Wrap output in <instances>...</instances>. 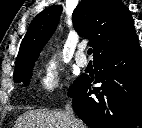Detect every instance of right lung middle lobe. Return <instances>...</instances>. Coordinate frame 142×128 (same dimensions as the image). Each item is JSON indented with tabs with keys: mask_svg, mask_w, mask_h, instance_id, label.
<instances>
[{
	"mask_svg": "<svg viewBox=\"0 0 142 128\" xmlns=\"http://www.w3.org/2000/svg\"><path fill=\"white\" fill-rule=\"evenodd\" d=\"M36 60L37 59H33L25 63L16 65V68L14 70V81L17 83L23 82L25 85H28L30 78L32 76V68L34 67V63ZM80 80L81 77L74 81L73 86H71L69 89V95H71V93L76 88Z\"/></svg>",
	"mask_w": 142,
	"mask_h": 128,
	"instance_id": "1",
	"label": "right lung middle lobe"
}]
</instances>
